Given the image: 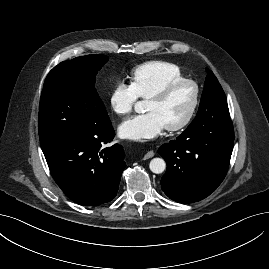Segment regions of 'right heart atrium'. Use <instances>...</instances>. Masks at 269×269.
<instances>
[{"mask_svg": "<svg viewBox=\"0 0 269 269\" xmlns=\"http://www.w3.org/2000/svg\"><path fill=\"white\" fill-rule=\"evenodd\" d=\"M137 101L138 95L135 89L124 81L116 82L109 95L110 108L119 116L130 113Z\"/></svg>", "mask_w": 269, "mask_h": 269, "instance_id": "obj_1", "label": "right heart atrium"}]
</instances>
